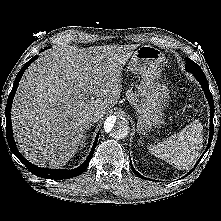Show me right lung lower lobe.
<instances>
[{
  "label": "right lung lower lobe",
  "mask_w": 221,
  "mask_h": 221,
  "mask_svg": "<svg viewBox=\"0 0 221 221\" xmlns=\"http://www.w3.org/2000/svg\"><path fill=\"white\" fill-rule=\"evenodd\" d=\"M37 59V55L34 56L32 59H30L26 64H24V66L22 67V69L20 70V72L17 74L16 79L14 81L13 84V88L11 93L9 94L8 100H7V104H6V108H5V116H6V138H7V142L9 145V148L11 150V152L27 167V169L33 173L34 175L38 176V177H42V178H47V179H68V178H72L75 176H78L80 174H82L88 167L90 159L93 156V153L95 151V147L98 141V137H99V133L96 136L94 145L91 149V152L89 154V156L87 157V159L85 160V162L80 165L79 167L72 169V170H58V169H46V168H40L37 167L33 164H31L30 162H28L17 150L16 148V144L13 138V132H12V124H11V118H10V111H11V104H12V100L14 97V94L17 90L19 81L24 73V71L26 70V68L34 61Z\"/></svg>",
  "instance_id": "1"
}]
</instances>
